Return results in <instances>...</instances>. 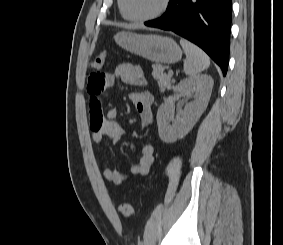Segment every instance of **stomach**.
<instances>
[{
    "label": "stomach",
    "instance_id": "stomach-1",
    "mask_svg": "<svg viewBox=\"0 0 283 245\" xmlns=\"http://www.w3.org/2000/svg\"><path fill=\"white\" fill-rule=\"evenodd\" d=\"M114 39L126 51L156 63H175L182 57L179 45L169 37L122 31Z\"/></svg>",
    "mask_w": 283,
    "mask_h": 245
}]
</instances>
